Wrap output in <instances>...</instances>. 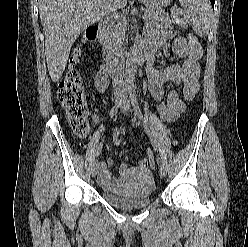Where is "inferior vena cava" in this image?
<instances>
[{"label": "inferior vena cava", "mask_w": 248, "mask_h": 247, "mask_svg": "<svg viewBox=\"0 0 248 247\" xmlns=\"http://www.w3.org/2000/svg\"><path fill=\"white\" fill-rule=\"evenodd\" d=\"M109 2H110V7H109L108 15L112 17V20H116L119 17L117 14V5L114 2V0H109Z\"/></svg>", "instance_id": "1"}]
</instances>
